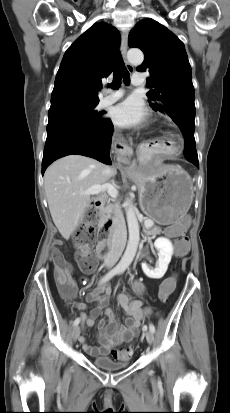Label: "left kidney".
Segmentation results:
<instances>
[{"instance_id":"obj_1","label":"left kidney","mask_w":230,"mask_h":413,"mask_svg":"<svg viewBox=\"0 0 230 413\" xmlns=\"http://www.w3.org/2000/svg\"><path fill=\"white\" fill-rule=\"evenodd\" d=\"M154 246L158 251L159 257L157 266L154 269H150L146 263H142V270L147 277L160 279L168 269V265L173 255V245L169 239L159 237L155 240Z\"/></svg>"}]
</instances>
